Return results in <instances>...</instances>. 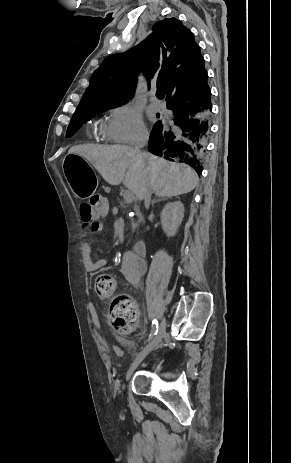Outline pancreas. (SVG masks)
<instances>
[{"instance_id":"1","label":"pancreas","mask_w":291,"mask_h":463,"mask_svg":"<svg viewBox=\"0 0 291 463\" xmlns=\"http://www.w3.org/2000/svg\"><path fill=\"white\" fill-rule=\"evenodd\" d=\"M137 217H138V222H142L143 221V216L140 214V213H137ZM135 226V225H134Z\"/></svg>"}]
</instances>
